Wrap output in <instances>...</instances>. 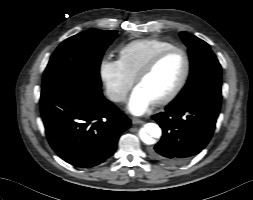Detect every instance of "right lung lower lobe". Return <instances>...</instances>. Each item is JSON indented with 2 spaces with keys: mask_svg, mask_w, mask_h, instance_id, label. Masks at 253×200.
<instances>
[{
  "mask_svg": "<svg viewBox=\"0 0 253 200\" xmlns=\"http://www.w3.org/2000/svg\"><path fill=\"white\" fill-rule=\"evenodd\" d=\"M41 113L47 139L66 162L89 168L115 152L130 119L97 89L64 84L41 90Z\"/></svg>",
  "mask_w": 253,
  "mask_h": 200,
  "instance_id": "right-lung-lower-lobe-1",
  "label": "right lung lower lobe"
}]
</instances>
